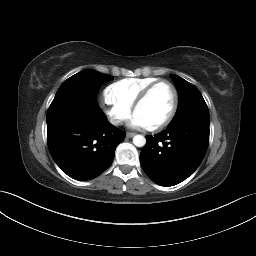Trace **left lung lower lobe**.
I'll return each mask as SVG.
<instances>
[{"label": "left lung lower lobe", "instance_id": "1", "mask_svg": "<svg viewBox=\"0 0 256 256\" xmlns=\"http://www.w3.org/2000/svg\"><path fill=\"white\" fill-rule=\"evenodd\" d=\"M146 138L140 154L144 172L161 186H173L202 162L209 143V123L187 119Z\"/></svg>", "mask_w": 256, "mask_h": 256}]
</instances>
